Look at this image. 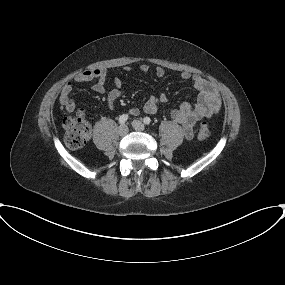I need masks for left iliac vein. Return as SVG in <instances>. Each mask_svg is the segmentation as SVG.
Segmentation results:
<instances>
[{
	"label": "left iliac vein",
	"mask_w": 285,
	"mask_h": 285,
	"mask_svg": "<svg viewBox=\"0 0 285 285\" xmlns=\"http://www.w3.org/2000/svg\"><path fill=\"white\" fill-rule=\"evenodd\" d=\"M132 126L137 131H143L145 129L144 124L139 120L132 121Z\"/></svg>",
	"instance_id": "obj_1"
}]
</instances>
